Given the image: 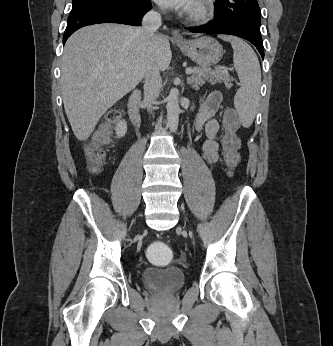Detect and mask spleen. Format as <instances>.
Listing matches in <instances>:
<instances>
[{
	"label": "spleen",
	"instance_id": "obj_1",
	"mask_svg": "<svg viewBox=\"0 0 333 346\" xmlns=\"http://www.w3.org/2000/svg\"><path fill=\"white\" fill-rule=\"evenodd\" d=\"M231 43L233 63L241 87L238 89L234 105L244 127H249L255 118L260 100L261 69L253 49L243 40L233 36H222Z\"/></svg>",
	"mask_w": 333,
	"mask_h": 346
}]
</instances>
